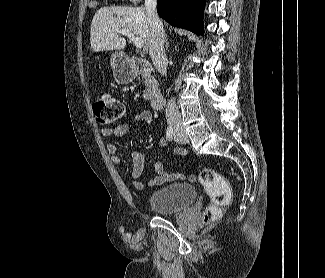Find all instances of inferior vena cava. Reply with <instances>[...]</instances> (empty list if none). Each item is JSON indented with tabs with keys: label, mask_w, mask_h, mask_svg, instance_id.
Here are the masks:
<instances>
[{
	"label": "inferior vena cava",
	"mask_w": 325,
	"mask_h": 278,
	"mask_svg": "<svg viewBox=\"0 0 325 278\" xmlns=\"http://www.w3.org/2000/svg\"><path fill=\"white\" fill-rule=\"evenodd\" d=\"M145 9L151 27L149 53L157 71L166 75L168 60L164 50V28L157 14V0H145ZM168 123H181V115L174 99H170L166 107Z\"/></svg>",
	"instance_id": "obj_1"
}]
</instances>
